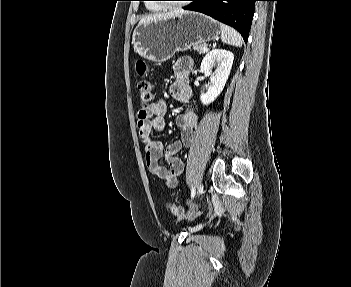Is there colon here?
Instances as JSON below:
<instances>
[{"label": "colon", "instance_id": "colon-1", "mask_svg": "<svg viewBox=\"0 0 351 287\" xmlns=\"http://www.w3.org/2000/svg\"><path fill=\"white\" fill-rule=\"evenodd\" d=\"M136 71L141 76L147 73L148 66L143 60H138L136 62ZM137 93L140 103L146 107L150 105L155 98L154 85L148 80H141L137 85ZM167 208L172 215L178 218L190 219L194 216V213L192 211H189L175 203H169L167 205Z\"/></svg>", "mask_w": 351, "mask_h": 287}]
</instances>
